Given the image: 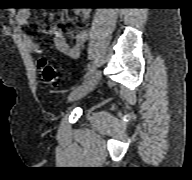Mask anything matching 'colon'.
Listing matches in <instances>:
<instances>
[{
    "mask_svg": "<svg viewBox=\"0 0 192 180\" xmlns=\"http://www.w3.org/2000/svg\"><path fill=\"white\" fill-rule=\"evenodd\" d=\"M39 69L45 83L54 84L57 81L55 69L45 59L39 60Z\"/></svg>",
    "mask_w": 192,
    "mask_h": 180,
    "instance_id": "colon-1",
    "label": "colon"
}]
</instances>
